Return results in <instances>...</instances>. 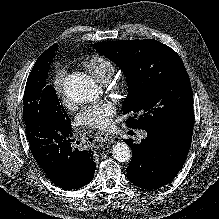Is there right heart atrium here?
<instances>
[{
    "mask_svg": "<svg viewBox=\"0 0 219 219\" xmlns=\"http://www.w3.org/2000/svg\"><path fill=\"white\" fill-rule=\"evenodd\" d=\"M67 71L65 68H60L57 70L54 80H53V86L57 93L62 92L63 83L66 77Z\"/></svg>",
    "mask_w": 219,
    "mask_h": 219,
    "instance_id": "right-heart-atrium-1",
    "label": "right heart atrium"
}]
</instances>
